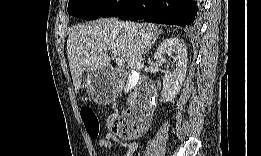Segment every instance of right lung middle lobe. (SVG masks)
Segmentation results:
<instances>
[{"instance_id": "right-lung-middle-lobe-1", "label": "right lung middle lobe", "mask_w": 261, "mask_h": 156, "mask_svg": "<svg viewBox=\"0 0 261 156\" xmlns=\"http://www.w3.org/2000/svg\"><path fill=\"white\" fill-rule=\"evenodd\" d=\"M117 2L114 0H70L68 13L86 20L97 19L109 11Z\"/></svg>"}]
</instances>
